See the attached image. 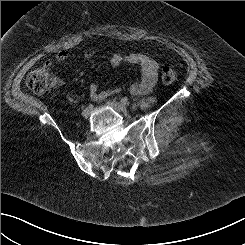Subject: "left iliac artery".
Returning a JSON list of instances; mask_svg holds the SVG:
<instances>
[{
  "instance_id": "obj_1",
  "label": "left iliac artery",
  "mask_w": 245,
  "mask_h": 245,
  "mask_svg": "<svg viewBox=\"0 0 245 245\" xmlns=\"http://www.w3.org/2000/svg\"><path fill=\"white\" fill-rule=\"evenodd\" d=\"M121 103L124 104V105H129V100L127 97H124L121 99Z\"/></svg>"
}]
</instances>
